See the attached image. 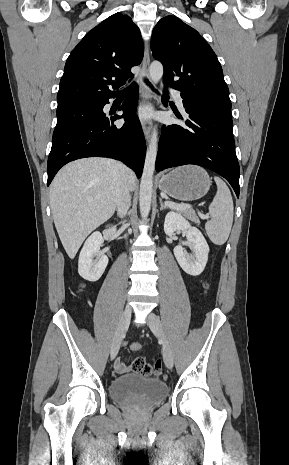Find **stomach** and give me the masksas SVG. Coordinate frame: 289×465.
Listing matches in <instances>:
<instances>
[{
  "label": "stomach",
  "instance_id": "0dacf381",
  "mask_svg": "<svg viewBox=\"0 0 289 465\" xmlns=\"http://www.w3.org/2000/svg\"><path fill=\"white\" fill-rule=\"evenodd\" d=\"M210 186L208 173L195 165L174 168L159 179L162 192L182 201L200 199L209 191Z\"/></svg>",
  "mask_w": 289,
  "mask_h": 465
}]
</instances>
